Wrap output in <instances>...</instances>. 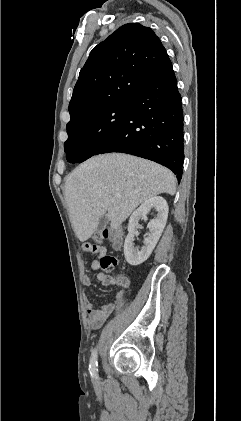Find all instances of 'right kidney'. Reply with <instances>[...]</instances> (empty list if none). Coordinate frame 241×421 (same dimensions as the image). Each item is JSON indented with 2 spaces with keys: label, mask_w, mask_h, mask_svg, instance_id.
<instances>
[{
  "label": "right kidney",
  "mask_w": 241,
  "mask_h": 421,
  "mask_svg": "<svg viewBox=\"0 0 241 421\" xmlns=\"http://www.w3.org/2000/svg\"><path fill=\"white\" fill-rule=\"evenodd\" d=\"M152 207L156 209L157 216L150 220L147 225L149 233L144 240V245L140 250L135 249L134 241L137 234L136 227L138 226L140 219L145 218ZM168 210L166 200L160 196H154L145 200L140 207L133 212L129 219L128 235L124 243L125 259L130 265H140L149 258L166 225Z\"/></svg>",
  "instance_id": "right-kidney-1"
}]
</instances>
